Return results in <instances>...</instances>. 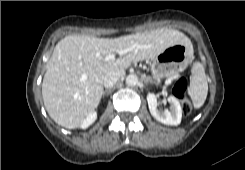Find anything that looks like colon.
<instances>
[{"label":"colon","mask_w":245,"mask_h":170,"mask_svg":"<svg viewBox=\"0 0 245 170\" xmlns=\"http://www.w3.org/2000/svg\"><path fill=\"white\" fill-rule=\"evenodd\" d=\"M173 94L182 100V112L185 116L190 115L192 105L187 97V79L185 76L178 78L172 88Z\"/></svg>","instance_id":"obj_1"}]
</instances>
